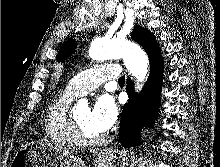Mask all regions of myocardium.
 <instances>
[{
  "label": "myocardium",
  "instance_id": "1",
  "mask_svg": "<svg viewBox=\"0 0 220 167\" xmlns=\"http://www.w3.org/2000/svg\"><path fill=\"white\" fill-rule=\"evenodd\" d=\"M69 127H70L71 137L74 143L79 146H84V147L97 146L102 144L106 140L105 135H101L94 139L86 138L81 132L77 117L75 115V110H70Z\"/></svg>",
  "mask_w": 220,
  "mask_h": 167
}]
</instances>
